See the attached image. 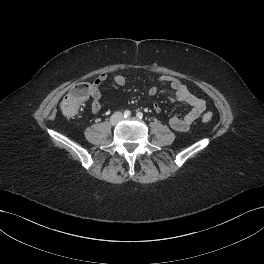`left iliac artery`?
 <instances>
[{"mask_svg":"<svg viewBox=\"0 0 264 264\" xmlns=\"http://www.w3.org/2000/svg\"><path fill=\"white\" fill-rule=\"evenodd\" d=\"M136 116L138 117V118H143V113L142 112H138L137 114H136Z\"/></svg>","mask_w":264,"mask_h":264,"instance_id":"obj_1","label":"left iliac artery"}]
</instances>
